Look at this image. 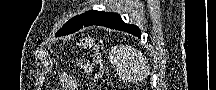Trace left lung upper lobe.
<instances>
[{
  "label": "left lung upper lobe",
  "instance_id": "5c2ea615",
  "mask_svg": "<svg viewBox=\"0 0 216 90\" xmlns=\"http://www.w3.org/2000/svg\"><path fill=\"white\" fill-rule=\"evenodd\" d=\"M109 14L110 13L91 10L81 15H77L70 19L67 23H65L64 26L56 33V36H63L74 33L83 27L93 25L94 23L105 18Z\"/></svg>",
  "mask_w": 216,
  "mask_h": 90
}]
</instances>
